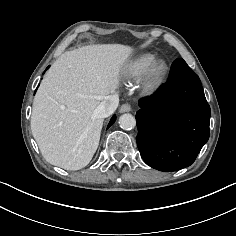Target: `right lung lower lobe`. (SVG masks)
<instances>
[{"label": "right lung lower lobe", "instance_id": "1", "mask_svg": "<svg viewBox=\"0 0 236 236\" xmlns=\"http://www.w3.org/2000/svg\"><path fill=\"white\" fill-rule=\"evenodd\" d=\"M48 68H49V66L47 67V69H48ZM115 120H116V116L113 115L112 119H111L110 122H109L108 127H110V126L115 122Z\"/></svg>", "mask_w": 236, "mask_h": 236}]
</instances>
